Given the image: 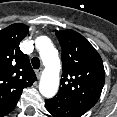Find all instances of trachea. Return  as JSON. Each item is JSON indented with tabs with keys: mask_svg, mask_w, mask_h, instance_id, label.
<instances>
[{
	"mask_svg": "<svg viewBox=\"0 0 117 117\" xmlns=\"http://www.w3.org/2000/svg\"><path fill=\"white\" fill-rule=\"evenodd\" d=\"M31 62L34 69H39L41 65L39 58L34 57Z\"/></svg>",
	"mask_w": 117,
	"mask_h": 117,
	"instance_id": "obj_1",
	"label": "trachea"
}]
</instances>
